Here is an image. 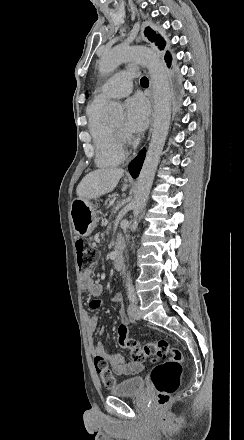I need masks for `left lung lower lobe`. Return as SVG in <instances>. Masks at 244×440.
<instances>
[{
  "label": "left lung lower lobe",
  "mask_w": 244,
  "mask_h": 440,
  "mask_svg": "<svg viewBox=\"0 0 244 440\" xmlns=\"http://www.w3.org/2000/svg\"><path fill=\"white\" fill-rule=\"evenodd\" d=\"M168 67L171 66V62L167 63ZM171 87L174 97V103L176 106H179L181 104V95L183 92V85L181 81V76L179 71H174L171 77Z\"/></svg>",
  "instance_id": "0a47b994"
}]
</instances>
